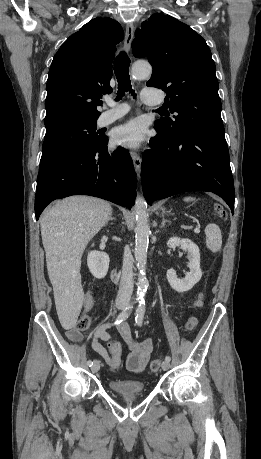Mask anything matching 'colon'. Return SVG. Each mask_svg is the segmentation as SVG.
<instances>
[{
  "label": "colon",
  "mask_w": 261,
  "mask_h": 459,
  "mask_svg": "<svg viewBox=\"0 0 261 459\" xmlns=\"http://www.w3.org/2000/svg\"><path fill=\"white\" fill-rule=\"evenodd\" d=\"M215 210L221 217L225 216V212L219 204L215 205ZM203 304H204L203 296L202 294H200L198 298L195 300L194 306L197 308H200L203 306ZM197 324H198L197 317L190 316L185 323L186 331H192L197 326ZM89 325H90L89 316L83 314L78 318L76 325H75V330L84 331L88 329ZM108 349L113 356V361L110 365V368L112 370H117L121 362V354H122L121 344L118 341H110L108 343ZM160 365H161V362L159 359L152 360L150 363L151 371L152 372L158 371L160 369Z\"/></svg>",
  "instance_id": "obj_1"
}]
</instances>
